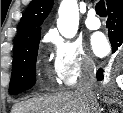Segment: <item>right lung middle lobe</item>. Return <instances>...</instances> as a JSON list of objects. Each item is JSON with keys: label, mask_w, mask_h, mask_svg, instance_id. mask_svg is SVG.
Masks as SVG:
<instances>
[{"label": "right lung middle lobe", "mask_w": 123, "mask_h": 113, "mask_svg": "<svg viewBox=\"0 0 123 113\" xmlns=\"http://www.w3.org/2000/svg\"><path fill=\"white\" fill-rule=\"evenodd\" d=\"M40 35L14 50L9 93L16 95L31 88L36 81L35 67Z\"/></svg>", "instance_id": "right-lung-middle-lobe-1"}]
</instances>
